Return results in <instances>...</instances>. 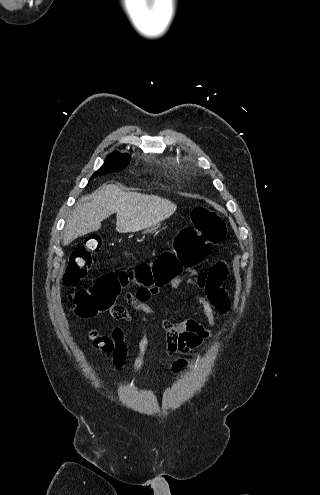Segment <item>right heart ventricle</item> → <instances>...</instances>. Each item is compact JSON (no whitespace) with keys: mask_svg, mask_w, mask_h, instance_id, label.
I'll list each match as a JSON object with an SVG mask.
<instances>
[{"mask_svg":"<svg viewBox=\"0 0 320 495\" xmlns=\"http://www.w3.org/2000/svg\"><path fill=\"white\" fill-rule=\"evenodd\" d=\"M175 168H176L178 171H180V170H181V168H180V167H178V166H176Z\"/></svg>","mask_w":320,"mask_h":495,"instance_id":"right-heart-ventricle-1","label":"right heart ventricle"}]
</instances>
